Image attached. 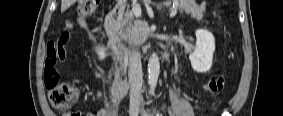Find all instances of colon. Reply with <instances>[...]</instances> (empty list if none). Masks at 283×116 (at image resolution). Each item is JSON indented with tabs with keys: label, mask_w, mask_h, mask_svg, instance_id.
Masks as SVG:
<instances>
[{
	"label": "colon",
	"mask_w": 283,
	"mask_h": 116,
	"mask_svg": "<svg viewBox=\"0 0 283 116\" xmlns=\"http://www.w3.org/2000/svg\"><path fill=\"white\" fill-rule=\"evenodd\" d=\"M99 4V0H80L78 1L77 12L81 17H88L95 13ZM69 33L64 30L58 43L66 44ZM44 84L49 90L48 98L51 105L59 110L64 111L73 105L77 98V89L66 81H61L58 76L49 77L45 75ZM224 80L222 75H214L209 78L205 85L206 91L213 97L222 91ZM73 115H79L74 113Z\"/></svg>",
	"instance_id": "colon-1"
}]
</instances>
